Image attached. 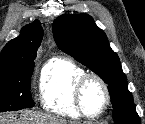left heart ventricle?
<instances>
[{
    "mask_svg": "<svg viewBox=\"0 0 145 124\" xmlns=\"http://www.w3.org/2000/svg\"><path fill=\"white\" fill-rule=\"evenodd\" d=\"M104 103V92L99 84L92 81L90 82L84 91L83 104L85 111L88 114L98 113Z\"/></svg>",
    "mask_w": 145,
    "mask_h": 124,
    "instance_id": "b2bd125f",
    "label": "left heart ventricle"
}]
</instances>
